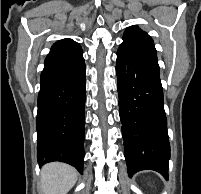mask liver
<instances>
[{
	"instance_id": "1",
	"label": "liver",
	"mask_w": 201,
	"mask_h": 194,
	"mask_svg": "<svg viewBox=\"0 0 201 194\" xmlns=\"http://www.w3.org/2000/svg\"><path fill=\"white\" fill-rule=\"evenodd\" d=\"M77 181V171L70 165L54 162L43 166L41 189L43 194H67Z\"/></svg>"
}]
</instances>
